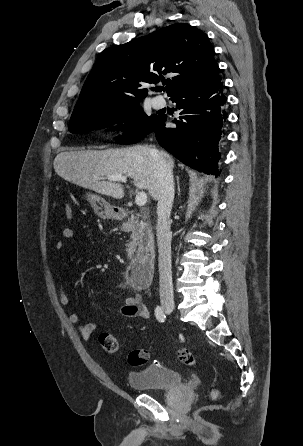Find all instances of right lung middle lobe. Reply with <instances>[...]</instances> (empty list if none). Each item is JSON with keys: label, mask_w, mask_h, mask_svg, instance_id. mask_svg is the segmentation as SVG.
Instances as JSON below:
<instances>
[{"label": "right lung middle lobe", "mask_w": 303, "mask_h": 446, "mask_svg": "<svg viewBox=\"0 0 303 446\" xmlns=\"http://www.w3.org/2000/svg\"><path fill=\"white\" fill-rule=\"evenodd\" d=\"M139 101L123 106H102L87 113L71 116L69 130L73 133L105 128L115 123L126 122L127 134L117 141L133 144L151 133L161 115L147 116L140 109Z\"/></svg>", "instance_id": "dd1d6c3e"}]
</instances>
